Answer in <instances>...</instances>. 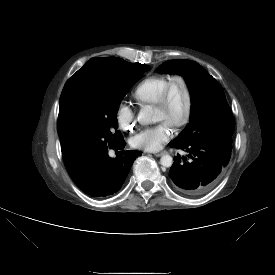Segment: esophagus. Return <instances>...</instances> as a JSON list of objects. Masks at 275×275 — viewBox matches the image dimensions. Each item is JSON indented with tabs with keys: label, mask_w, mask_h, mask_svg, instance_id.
<instances>
[{
	"label": "esophagus",
	"mask_w": 275,
	"mask_h": 275,
	"mask_svg": "<svg viewBox=\"0 0 275 275\" xmlns=\"http://www.w3.org/2000/svg\"><path fill=\"white\" fill-rule=\"evenodd\" d=\"M164 153H165V151H162V152L155 153L154 155H155L156 157H160V156H162Z\"/></svg>",
	"instance_id": "esophagus-1"
}]
</instances>
